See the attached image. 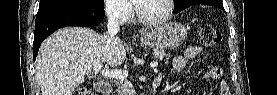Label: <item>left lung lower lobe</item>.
<instances>
[{"label": "left lung lower lobe", "instance_id": "obj_1", "mask_svg": "<svg viewBox=\"0 0 277 95\" xmlns=\"http://www.w3.org/2000/svg\"><path fill=\"white\" fill-rule=\"evenodd\" d=\"M198 4L212 5V6H216V7L221 8L222 10H224L223 4H214V3H210V2H206V1H203V2L198 3ZM224 11H225V10H224Z\"/></svg>", "mask_w": 277, "mask_h": 95}]
</instances>
